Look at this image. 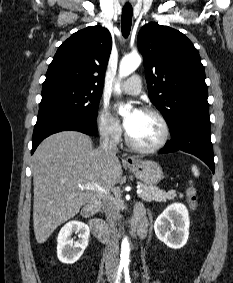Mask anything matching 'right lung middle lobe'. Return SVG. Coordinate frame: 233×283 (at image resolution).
Instances as JSON below:
<instances>
[{"label":"right lung middle lobe","instance_id":"right-lung-middle-lobe-1","mask_svg":"<svg viewBox=\"0 0 233 283\" xmlns=\"http://www.w3.org/2000/svg\"><path fill=\"white\" fill-rule=\"evenodd\" d=\"M102 91L61 82L43 83L38 117L48 113H64L96 120Z\"/></svg>","mask_w":233,"mask_h":283}]
</instances>
